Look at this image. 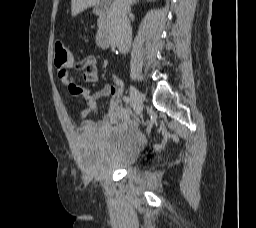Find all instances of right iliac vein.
<instances>
[{
  "label": "right iliac vein",
  "mask_w": 256,
  "mask_h": 228,
  "mask_svg": "<svg viewBox=\"0 0 256 228\" xmlns=\"http://www.w3.org/2000/svg\"><path fill=\"white\" fill-rule=\"evenodd\" d=\"M130 97L132 99V104L134 110L137 114H141L143 110V100L144 97L142 93L134 86H131L129 89Z\"/></svg>",
  "instance_id": "obj_1"
}]
</instances>
